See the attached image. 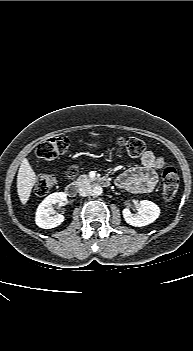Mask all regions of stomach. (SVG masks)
Returning <instances> with one entry per match:
<instances>
[{
	"instance_id": "obj_1",
	"label": "stomach",
	"mask_w": 193,
	"mask_h": 351,
	"mask_svg": "<svg viewBox=\"0 0 193 351\" xmlns=\"http://www.w3.org/2000/svg\"><path fill=\"white\" fill-rule=\"evenodd\" d=\"M97 146H98V145H97L96 143H94V144H89V147H90V148H97Z\"/></svg>"
}]
</instances>
